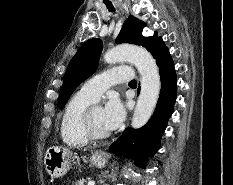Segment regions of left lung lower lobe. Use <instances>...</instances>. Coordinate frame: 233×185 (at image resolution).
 <instances>
[{
	"label": "left lung lower lobe",
	"instance_id": "obj_1",
	"mask_svg": "<svg viewBox=\"0 0 233 185\" xmlns=\"http://www.w3.org/2000/svg\"><path fill=\"white\" fill-rule=\"evenodd\" d=\"M151 54L160 68L161 79V92L155 112L146 125L137 130L126 129L109 147L110 152L130 157L142 168L146 167L148 158L160 146L177 94L174 63L162 39L153 47Z\"/></svg>",
	"mask_w": 233,
	"mask_h": 185
}]
</instances>
